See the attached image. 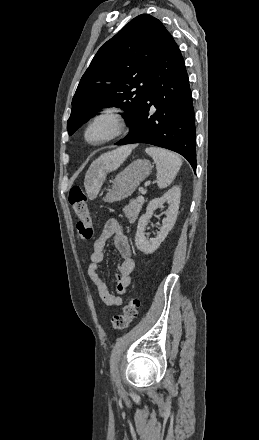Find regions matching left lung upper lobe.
<instances>
[{"instance_id":"1","label":"left lung upper lobe","mask_w":259,"mask_h":440,"mask_svg":"<svg viewBox=\"0 0 259 440\" xmlns=\"http://www.w3.org/2000/svg\"><path fill=\"white\" fill-rule=\"evenodd\" d=\"M169 35L158 19L142 14L108 40L77 87L67 124L69 135L104 107L124 109V119L131 126Z\"/></svg>"}]
</instances>
